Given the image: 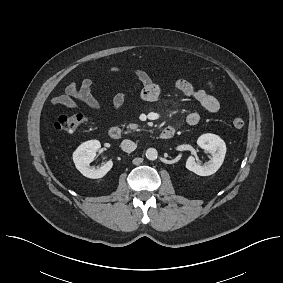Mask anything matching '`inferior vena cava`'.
<instances>
[{
    "mask_svg": "<svg viewBox=\"0 0 283 283\" xmlns=\"http://www.w3.org/2000/svg\"><path fill=\"white\" fill-rule=\"evenodd\" d=\"M137 145L131 140L125 139L121 142V149L127 153H131L136 149Z\"/></svg>",
    "mask_w": 283,
    "mask_h": 283,
    "instance_id": "obj_1",
    "label": "inferior vena cava"
}]
</instances>
